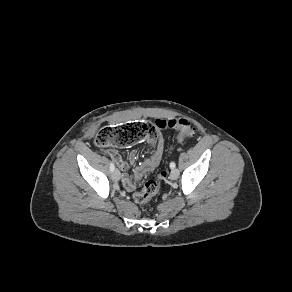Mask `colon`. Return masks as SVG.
Wrapping results in <instances>:
<instances>
[{"instance_id": "colon-1", "label": "colon", "mask_w": 292, "mask_h": 292, "mask_svg": "<svg viewBox=\"0 0 292 292\" xmlns=\"http://www.w3.org/2000/svg\"><path fill=\"white\" fill-rule=\"evenodd\" d=\"M171 128L179 141H185L193 137L195 128L186 119H172L152 123L147 120L129 121L117 125L104 126L96 135L94 143L97 146L125 147L142 140L154 141L159 137L160 128ZM166 177V171L162 170L156 179L147 181L140 191L134 194V200L138 204L150 201L160 190L161 181Z\"/></svg>"}]
</instances>
